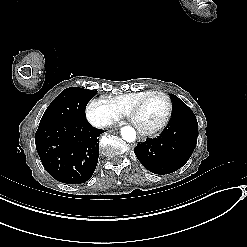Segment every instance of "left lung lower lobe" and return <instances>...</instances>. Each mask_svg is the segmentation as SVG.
<instances>
[{"mask_svg":"<svg viewBox=\"0 0 247 247\" xmlns=\"http://www.w3.org/2000/svg\"><path fill=\"white\" fill-rule=\"evenodd\" d=\"M198 123L195 115L171 118L163 132L154 139L138 143L137 159L149 171L163 175L186 164L196 147Z\"/></svg>","mask_w":247,"mask_h":247,"instance_id":"obj_1","label":"left lung lower lobe"}]
</instances>
